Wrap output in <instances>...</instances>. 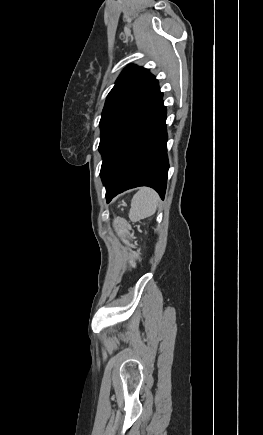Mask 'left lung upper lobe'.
<instances>
[{"mask_svg":"<svg viewBox=\"0 0 263 435\" xmlns=\"http://www.w3.org/2000/svg\"><path fill=\"white\" fill-rule=\"evenodd\" d=\"M161 94L158 81L148 69L129 65L106 98L100 120L102 157L124 131Z\"/></svg>","mask_w":263,"mask_h":435,"instance_id":"left-lung-upper-lobe-1","label":"left lung upper lobe"}]
</instances>
